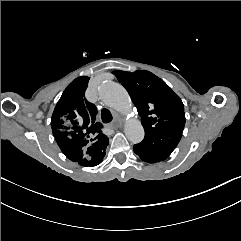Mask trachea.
Returning a JSON list of instances; mask_svg holds the SVG:
<instances>
[{"label":"trachea","instance_id":"1","mask_svg":"<svg viewBox=\"0 0 241 241\" xmlns=\"http://www.w3.org/2000/svg\"><path fill=\"white\" fill-rule=\"evenodd\" d=\"M101 119H102L103 123H110L112 121L113 117L109 110L102 109Z\"/></svg>","mask_w":241,"mask_h":241}]
</instances>
